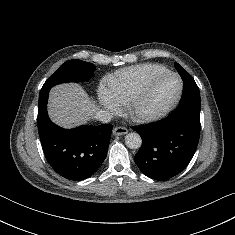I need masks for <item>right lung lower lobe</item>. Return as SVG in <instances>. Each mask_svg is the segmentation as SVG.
Listing matches in <instances>:
<instances>
[{
  "label": "right lung lower lobe",
  "mask_w": 235,
  "mask_h": 235,
  "mask_svg": "<svg viewBox=\"0 0 235 235\" xmlns=\"http://www.w3.org/2000/svg\"><path fill=\"white\" fill-rule=\"evenodd\" d=\"M49 90L40 93L38 101V131L45 157L51 167L69 180H83L105 160L112 125L81 126L63 129L47 114Z\"/></svg>",
  "instance_id": "98d812e1"
}]
</instances>
